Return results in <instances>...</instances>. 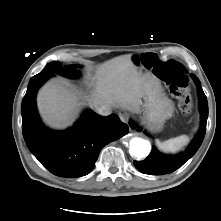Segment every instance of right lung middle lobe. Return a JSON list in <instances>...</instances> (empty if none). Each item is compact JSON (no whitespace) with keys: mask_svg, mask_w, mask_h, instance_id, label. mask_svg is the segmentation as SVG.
<instances>
[{"mask_svg":"<svg viewBox=\"0 0 221 221\" xmlns=\"http://www.w3.org/2000/svg\"><path fill=\"white\" fill-rule=\"evenodd\" d=\"M77 67H80V66L69 65L68 67L65 68V75L70 78L79 76L80 72L78 70H76ZM61 72H62L61 63L60 62H51L39 74L48 73L49 75H53L54 73H61Z\"/></svg>","mask_w":221,"mask_h":221,"instance_id":"obj_1","label":"right lung middle lobe"}]
</instances>
